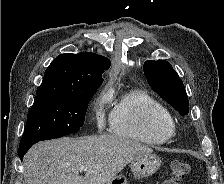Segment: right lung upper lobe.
Returning <instances> with one entry per match:
<instances>
[{
    "label": "right lung upper lobe",
    "mask_w": 224,
    "mask_h": 184,
    "mask_svg": "<svg viewBox=\"0 0 224 184\" xmlns=\"http://www.w3.org/2000/svg\"><path fill=\"white\" fill-rule=\"evenodd\" d=\"M110 60L94 54H61L45 71L36 93H81L96 90L103 82L102 74Z\"/></svg>",
    "instance_id": "obj_1"
}]
</instances>
